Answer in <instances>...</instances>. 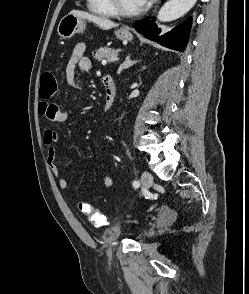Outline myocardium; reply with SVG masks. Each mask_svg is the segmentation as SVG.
<instances>
[{
    "instance_id": "1",
    "label": "myocardium",
    "mask_w": 249,
    "mask_h": 294,
    "mask_svg": "<svg viewBox=\"0 0 249 294\" xmlns=\"http://www.w3.org/2000/svg\"><path fill=\"white\" fill-rule=\"evenodd\" d=\"M108 2L111 8L114 10V12L117 15L126 16V17L138 15L144 9L143 7H140L139 9H135V10H127L121 5L120 0H108Z\"/></svg>"
}]
</instances>
